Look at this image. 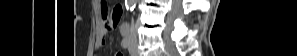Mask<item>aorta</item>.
<instances>
[{"instance_id": "762f6f07", "label": "aorta", "mask_w": 297, "mask_h": 56, "mask_svg": "<svg viewBox=\"0 0 297 56\" xmlns=\"http://www.w3.org/2000/svg\"><path fill=\"white\" fill-rule=\"evenodd\" d=\"M136 0H126V8L127 10L132 11L135 7Z\"/></svg>"}]
</instances>
